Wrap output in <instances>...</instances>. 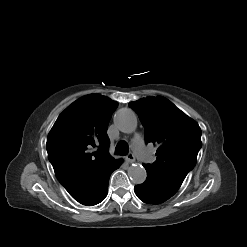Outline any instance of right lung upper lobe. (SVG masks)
Wrapping results in <instances>:
<instances>
[{
  "mask_svg": "<svg viewBox=\"0 0 247 247\" xmlns=\"http://www.w3.org/2000/svg\"><path fill=\"white\" fill-rule=\"evenodd\" d=\"M117 106L99 94L84 96L59 115L48 134L49 161L71 196L117 162L106 134Z\"/></svg>",
  "mask_w": 247,
  "mask_h": 247,
  "instance_id": "obj_1",
  "label": "right lung upper lobe"
}]
</instances>
